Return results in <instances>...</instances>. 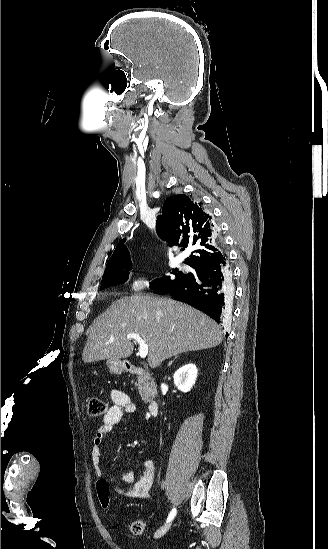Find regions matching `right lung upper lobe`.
I'll return each mask as SVG.
<instances>
[{
    "label": "right lung upper lobe",
    "instance_id": "obj_1",
    "mask_svg": "<svg viewBox=\"0 0 328 549\" xmlns=\"http://www.w3.org/2000/svg\"><path fill=\"white\" fill-rule=\"evenodd\" d=\"M156 228L158 235L170 246L179 245L182 250L195 248L193 254L185 260L193 268L225 256L219 228L212 216L202 209L201 204L184 194L171 196L164 202L162 217L157 220ZM124 241L121 240L115 248L106 269L126 259L130 260Z\"/></svg>",
    "mask_w": 328,
    "mask_h": 549
}]
</instances>
